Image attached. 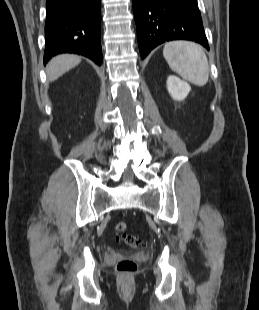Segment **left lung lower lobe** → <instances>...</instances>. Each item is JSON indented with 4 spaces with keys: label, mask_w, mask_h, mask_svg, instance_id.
<instances>
[{
    "label": "left lung lower lobe",
    "mask_w": 259,
    "mask_h": 310,
    "mask_svg": "<svg viewBox=\"0 0 259 310\" xmlns=\"http://www.w3.org/2000/svg\"><path fill=\"white\" fill-rule=\"evenodd\" d=\"M132 4L143 59L170 40H191L209 49L197 0H132Z\"/></svg>",
    "instance_id": "0a47b994"
}]
</instances>
